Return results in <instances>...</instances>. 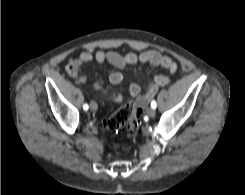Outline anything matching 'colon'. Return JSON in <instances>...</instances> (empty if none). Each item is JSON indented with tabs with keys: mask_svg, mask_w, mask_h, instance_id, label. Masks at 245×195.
Wrapping results in <instances>:
<instances>
[{
	"mask_svg": "<svg viewBox=\"0 0 245 195\" xmlns=\"http://www.w3.org/2000/svg\"><path fill=\"white\" fill-rule=\"evenodd\" d=\"M67 70L72 76L76 77L81 75V67L78 61L70 62ZM141 115L142 109L137 107L133 102H129L109 115L105 119L104 125L110 131L125 129L129 133H133L138 129ZM117 150L118 146L116 144L113 145V151Z\"/></svg>",
	"mask_w": 245,
	"mask_h": 195,
	"instance_id": "5ec220e1",
	"label": "colon"
}]
</instances>
